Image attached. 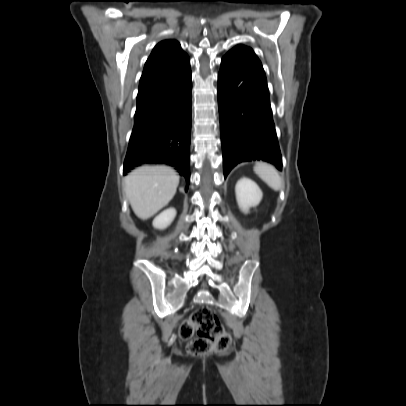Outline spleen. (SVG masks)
Returning <instances> with one entry per match:
<instances>
[{"instance_id":"spleen-1","label":"spleen","mask_w":406,"mask_h":406,"mask_svg":"<svg viewBox=\"0 0 406 406\" xmlns=\"http://www.w3.org/2000/svg\"><path fill=\"white\" fill-rule=\"evenodd\" d=\"M255 173L274 190L281 188V178L276 169L267 163H258L254 167Z\"/></svg>"}]
</instances>
